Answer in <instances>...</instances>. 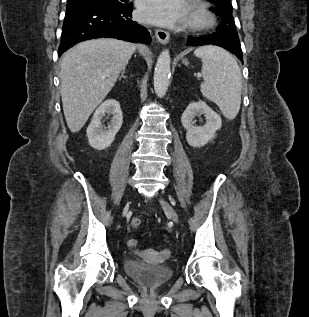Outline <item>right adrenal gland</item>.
Listing matches in <instances>:
<instances>
[{
    "instance_id": "2a0ac1e0",
    "label": "right adrenal gland",
    "mask_w": 309,
    "mask_h": 317,
    "mask_svg": "<svg viewBox=\"0 0 309 317\" xmlns=\"http://www.w3.org/2000/svg\"><path fill=\"white\" fill-rule=\"evenodd\" d=\"M124 74H125V69L122 70V73H121L119 79L126 78V76Z\"/></svg>"
}]
</instances>
